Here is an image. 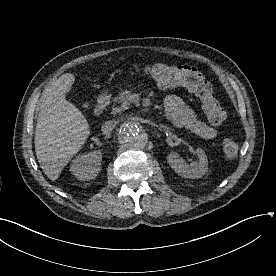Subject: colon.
I'll return each instance as SVG.
<instances>
[{
  "label": "colon",
  "mask_w": 276,
  "mask_h": 276,
  "mask_svg": "<svg viewBox=\"0 0 276 276\" xmlns=\"http://www.w3.org/2000/svg\"><path fill=\"white\" fill-rule=\"evenodd\" d=\"M144 72L162 87L182 86L194 93L200 99L205 116L211 124L219 125L226 120V111L215 97L212 84L197 68L156 63L145 66ZM221 152L225 159L235 158L239 153L237 141L225 138Z\"/></svg>",
  "instance_id": "colon-1"
}]
</instances>
